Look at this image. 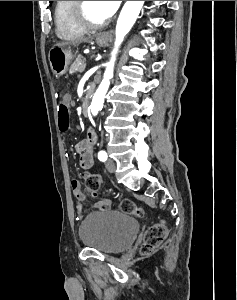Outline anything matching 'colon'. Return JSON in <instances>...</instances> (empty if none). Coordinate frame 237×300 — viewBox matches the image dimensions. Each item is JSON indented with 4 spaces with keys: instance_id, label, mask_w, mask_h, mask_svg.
Here are the masks:
<instances>
[{
    "instance_id": "obj_1",
    "label": "colon",
    "mask_w": 237,
    "mask_h": 300,
    "mask_svg": "<svg viewBox=\"0 0 237 300\" xmlns=\"http://www.w3.org/2000/svg\"><path fill=\"white\" fill-rule=\"evenodd\" d=\"M58 123L59 128L63 132L70 130V111L69 105L61 101L58 108ZM101 184V177L97 174L88 173L85 175V190L88 193H95ZM120 209L126 214L142 217L144 212L142 208L131 200L124 199L120 202ZM167 237V228L163 222L155 223L145 233L144 243L141 247L143 253H151L159 247Z\"/></svg>"
}]
</instances>
